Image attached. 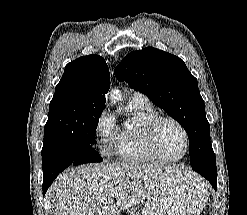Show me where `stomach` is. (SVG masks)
Returning a JSON list of instances; mask_svg holds the SVG:
<instances>
[{"label":"stomach","instance_id":"obj_1","mask_svg":"<svg viewBox=\"0 0 247 215\" xmlns=\"http://www.w3.org/2000/svg\"><path fill=\"white\" fill-rule=\"evenodd\" d=\"M207 199L204 181L193 172L183 171L147 199L142 215H199Z\"/></svg>","mask_w":247,"mask_h":215}]
</instances>
